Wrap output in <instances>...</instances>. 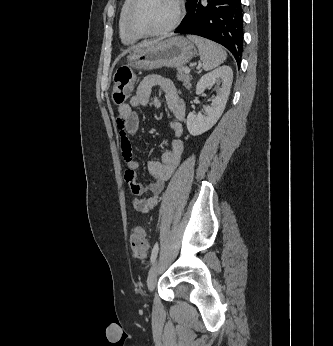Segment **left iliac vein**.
I'll use <instances>...</instances> for the list:
<instances>
[{"mask_svg": "<svg viewBox=\"0 0 333 346\" xmlns=\"http://www.w3.org/2000/svg\"><path fill=\"white\" fill-rule=\"evenodd\" d=\"M159 269H160V260L157 259L155 263L153 264L147 279V286L150 291H152L155 288Z\"/></svg>", "mask_w": 333, "mask_h": 346, "instance_id": "obj_1", "label": "left iliac vein"}]
</instances>
